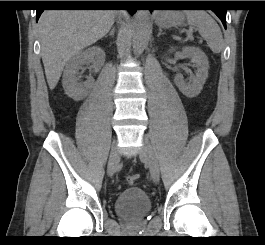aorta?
Wrapping results in <instances>:
<instances>
[{
    "label": "aorta",
    "instance_id": "aorta-1",
    "mask_svg": "<svg viewBox=\"0 0 265 245\" xmlns=\"http://www.w3.org/2000/svg\"><path fill=\"white\" fill-rule=\"evenodd\" d=\"M150 17L148 10H138L135 17L133 48L139 54L147 46L149 38Z\"/></svg>",
    "mask_w": 265,
    "mask_h": 245
}]
</instances>
